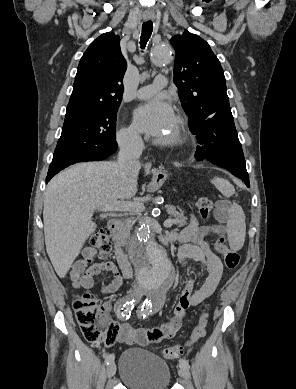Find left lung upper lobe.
<instances>
[{
  "label": "left lung upper lobe",
  "instance_id": "1",
  "mask_svg": "<svg viewBox=\"0 0 296 389\" xmlns=\"http://www.w3.org/2000/svg\"><path fill=\"white\" fill-rule=\"evenodd\" d=\"M170 43L176 52L174 83L189 117V128L197 138L201 124L215 113L230 108L224 72L201 37L185 30L182 35L173 36Z\"/></svg>",
  "mask_w": 296,
  "mask_h": 389
}]
</instances>
